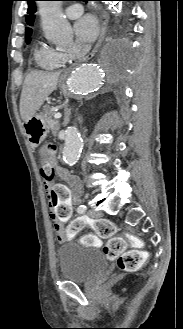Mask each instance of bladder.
Wrapping results in <instances>:
<instances>
[{"instance_id":"bladder-1","label":"bladder","mask_w":183,"mask_h":329,"mask_svg":"<svg viewBox=\"0 0 183 329\" xmlns=\"http://www.w3.org/2000/svg\"><path fill=\"white\" fill-rule=\"evenodd\" d=\"M60 276L66 281L87 282L108 268V260L99 249L67 241L57 248Z\"/></svg>"}]
</instances>
